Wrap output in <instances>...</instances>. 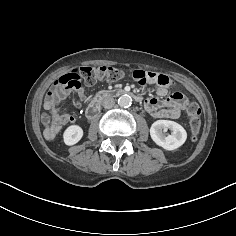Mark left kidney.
Masks as SVG:
<instances>
[{"mask_svg": "<svg viewBox=\"0 0 236 236\" xmlns=\"http://www.w3.org/2000/svg\"><path fill=\"white\" fill-rule=\"evenodd\" d=\"M172 133L166 135L167 130ZM150 136L152 140L165 150H175L182 146L186 139V130L178 123L170 120H157L150 128Z\"/></svg>", "mask_w": 236, "mask_h": 236, "instance_id": "left-kidney-1", "label": "left kidney"}]
</instances>
